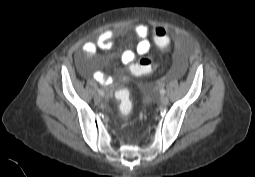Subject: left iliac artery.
Instances as JSON below:
<instances>
[{
  "label": "left iliac artery",
  "mask_w": 255,
  "mask_h": 177,
  "mask_svg": "<svg viewBox=\"0 0 255 177\" xmlns=\"http://www.w3.org/2000/svg\"><path fill=\"white\" fill-rule=\"evenodd\" d=\"M165 92H166V91H165L164 89H161V90H160V93L163 94V95L165 94Z\"/></svg>",
  "instance_id": "left-iliac-artery-1"
}]
</instances>
